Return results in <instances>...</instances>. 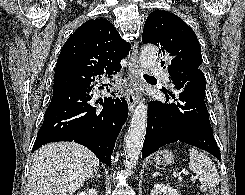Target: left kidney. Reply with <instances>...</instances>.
I'll return each instance as SVG.
<instances>
[{
	"instance_id": "left-kidney-1",
	"label": "left kidney",
	"mask_w": 245,
	"mask_h": 195,
	"mask_svg": "<svg viewBox=\"0 0 245 195\" xmlns=\"http://www.w3.org/2000/svg\"><path fill=\"white\" fill-rule=\"evenodd\" d=\"M150 195H180L178 191L169 185L156 184Z\"/></svg>"
}]
</instances>
